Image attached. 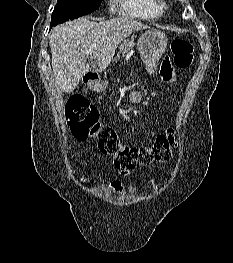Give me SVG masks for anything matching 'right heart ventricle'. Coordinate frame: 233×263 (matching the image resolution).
<instances>
[{
	"mask_svg": "<svg viewBox=\"0 0 233 263\" xmlns=\"http://www.w3.org/2000/svg\"><path fill=\"white\" fill-rule=\"evenodd\" d=\"M121 8L130 16L153 19L162 15L163 4L159 0H119Z\"/></svg>",
	"mask_w": 233,
	"mask_h": 263,
	"instance_id": "obj_1",
	"label": "right heart ventricle"
}]
</instances>
